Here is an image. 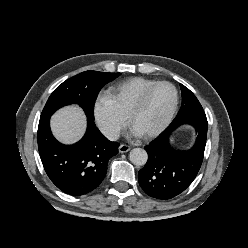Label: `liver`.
Masks as SVG:
<instances>
[{"instance_id":"liver-1","label":"liver","mask_w":248,"mask_h":248,"mask_svg":"<svg viewBox=\"0 0 248 248\" xmlns=\"http://www.w3.org/2000/svg\"><path fill=\"white\" fill-rule=\"evenodd\" d=\"M54 136L65 144L78 141L86 129V116L78 106H68L58 110L51 118Z\"/></svg>"}]
</instances>
